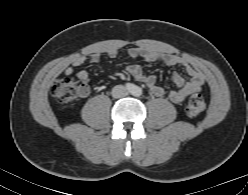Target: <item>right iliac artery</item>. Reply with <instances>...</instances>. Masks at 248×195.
Instances as JSON below:
<instances>
[{"instance_id": "obj_1", "label": "right iliac artery", "mask_w": 248, "mask_h": 195, "mask_svg": "<svg viewBox=\"0 0 248 195\" xmlns=\"http://www.w3.org/2000/svg\"><path fill=\"white\" fill-rule=\"evenodd\" d=\"M125 87L127 90H129L130 92L134 91L136 89L135 85L132 83H126Z\"/></svg>"}]
</instances>
